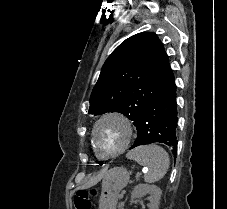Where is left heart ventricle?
Wrapping results in <instances>:
<instances>
[{"mask_svg":"<svg viewBox=\"0 0 227 209\" xmlns=\"http://www.w3.org/2000/svg\"><path fill=\"white\" fill-rule=\"evenodd\" d=\"M127 134V128L121 121L107 118L101 121L96 128V144L101 153H110L118 150L124 144Z\"/></svg>","mask_w":227,"mask_h":209,"instance_id":"left-heart-ventricle-1","label":"left heart ventricle"}]
</instances>
